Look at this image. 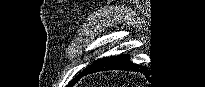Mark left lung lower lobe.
<instances>
[{"mask_svg": "<svg viewBox=\"0 0 205 87\" xmlns=\"http://www.w3.org/2000/svg\"><path fill=\"white\" fill-rule=\"evenodd\" d=\"M142 66L136 65L129 61L128 55L111 56L94 61L89 67L83 70L78 81L83 77L91 73L108 70H126V71H142ZM77 81V82H78ZM75 85V84H74Z\"/></svg>", "mask_w": 205, "mask_h": 87, "instance_id": "obj_1", "label": "left lung lower lobe"}]
</instances>
